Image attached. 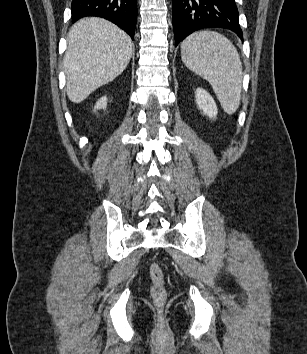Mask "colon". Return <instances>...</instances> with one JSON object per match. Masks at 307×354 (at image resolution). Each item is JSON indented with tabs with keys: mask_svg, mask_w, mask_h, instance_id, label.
Listing matches in <instances>:
<instances>
[{
	"mask_svg": "<svg viewBox=\"0 0 307 354\" xmlns=\"http://www.w3.org/2000/svg\"><path fill=\"white\" fill-rule=\"evenodd\" d=\"M150 276L152 282V298L158 306H162L166 300L167 293L165 289L164 274L161 267L157 263L151 265Z\"/></svg>",
	"mask_w": 307,
	"mask_h": 354,
	"instance_id": "1",
	"label": "colon"
}]
</instances>
